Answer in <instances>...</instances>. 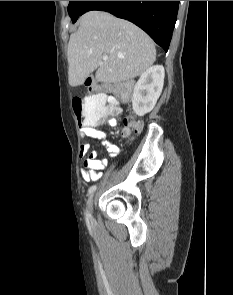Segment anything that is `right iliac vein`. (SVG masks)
Wrapping results in <instances>:
<instances>
[{
  "mask_svg": "<svg viewBox=\"0 0 233 295\" xmlns=\"http://www.w3.org/2000/svg\"><path fill=\"white\" fill-rule=\"evenodd\" d=\"M93 198H94V195L92 194L87 201V212L89 215L91 214L93 209Z\"/></svg>",
  "mask_w": 233,
  "mask_h": 295,
  "instance_id": "obj_1",
  "label": "right iliac vein"
}]
</instances>
